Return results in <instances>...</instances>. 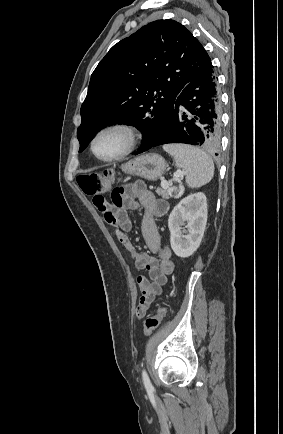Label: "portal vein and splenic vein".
I'll return each instance as SVG.
<instances>
[{"instance_id":"obj_1","label":"portal vein and splenic vein","mask_w":283,"mask_h":434,"mask_svg":"<svg viewBox=\"0 0 283 434\" xmlns=\"http://www.w3.org/2000/svg\"><path fill=\"white\" fill-rule=\"evenodd\" d=\"M180 176H181V172H177V173H175L174 176H173V180H177ZM161 186H162L163 188L168 187V186H169V182H167V181H165V180H162V182H161Z\"/></svg>"}]
</instances>
